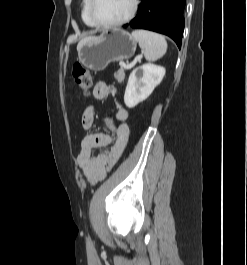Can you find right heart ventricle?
Masks as SVG:
<instances>
[{
    "mask_svg": "<svg viewBox=\"0 0 247 265\" xmlns=\"http://www.w3.org/2000/svg\"><path fill=\"white\" fill-rule=\"evenodd\" d=\"M89 2H90V0H82V2H81V18H82L83 22L85 23V25L93 28V27H95V25L92 23V21L89 17V13H88Z\"/></svg>",
    "mask_w": 247,
    "mask_h": 265,
    "instance_id": "1",
    "label": "right heart ventricle"
}]
</instances>
